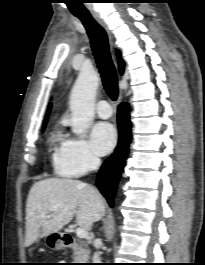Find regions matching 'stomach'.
Instances as JSON below:
<instances>
[{
  "label": "stomach",
  "mask_w": 205,
  "mask_h": 265,
  "mask_svg": "<svg viewBox=\"0 0 205 265\" xmlns=\"http://www.w3.org/2000/svg\"><path fill=\"white\" fill-rule=\"evenodd\" d=\"M62 238L63 235L59 232L50 233L45 237V245L51 250H60L65 246Z\"/></svg>",
  "instance_id": "0dacf381"
}]
</instances>
